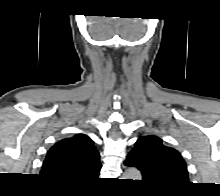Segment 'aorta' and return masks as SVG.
I'll return each mask as SVG.
<instances>
[{"mask_svg": "<svg viewBox=\"0 0 220 196\" xmlns=\"http://www.w3.org/2000/svg\"><path fill=\"white\" fill-rule=\"evenodd\" d=\"M122 177V179L141 180V173L136 168L130 167L124 171Z\"/></svg>", "mask_w": 220, "mask_h": 196, "instance_id": "1", "label": "aorta"}]
</instances>
